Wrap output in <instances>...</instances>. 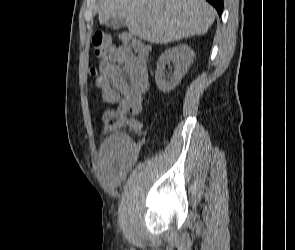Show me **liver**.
I'll return each mask as SVG.
<instances>
[{
	"label": "liver",
	"instance_id": "liver-1",
	"mask_svg": "<svg viewBox=\"0 0 295 250\" xmlns=\"http://www.w3.org/2000/svg\"><path fill=\"white\" fill-rule=\"evenodd\" d=\"M215 14L205 0H102L99 22L123 18L130 34L166 44L205 34Z\"/></svg>",
	"mask_w": 295,
	"mask_h": 250
}]
</instances>
